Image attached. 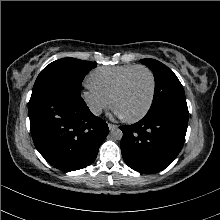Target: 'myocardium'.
Segmentation results:
<instances>
[{
    "label": "myocardium",
    "mask_w": 220,
    "mask_h": 220,
    "mask_svg": "<svg viewBox=\"0 0 220 220\" xmlns=\"http://www.w3.org/2000/svg\"><path fill=\"white\" fill-rule=\"evenodd\" d=\"M138 70H144L148 73L150 79H151V94H150V98L148 101V104L146 105V107L144 108V110L139 113L138 115L134 116V117H124L125 120L127 122L130 123H134L137 121H140L141 119H143L148 112L150 111L153 102H154V98H155V94H156V79H155V75L153 73V71L144 66V65H137L136 67H134L133 69H131L120 81V83L118 84V86L115 88L114 92L112 93V96L110 98L112 105L114 106L115 103V99L118 97V95L124 90L127 82L129 81L130 77Z\"/></svg>",
    "instance_id": "1"
}]
</instances>
